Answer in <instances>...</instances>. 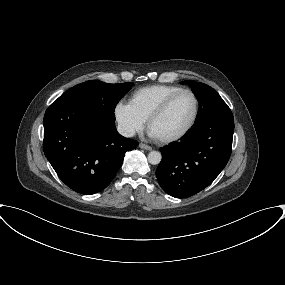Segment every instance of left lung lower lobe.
I'll return each mask as SVG.
<instances>
[{
    "label": "left lung lower lobe",
    "mask_w": 285,
    "mask_h": 285,
    "mask_svg": "<svg viewBox=\"0 0 285 285\" xmlns=\"http://www.w3.org/2000/svg\"><path fill=\"white\" fill-rule=\"evenodd\" d=\"M233 132L234 119H214L193 126L179 142L160 149L156 176L162 189L186 198L210 185L230 158Z\"/></svg>",
    "instance_id": "0a47b994"
}]
</instances>
